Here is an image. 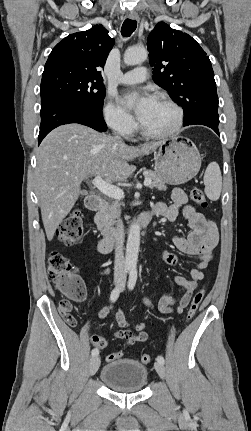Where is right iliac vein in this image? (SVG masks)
<instances>
[{"mask_svg":"<svg viewBox=\"0 0 251 431\" xmlns=\"http://www.w3.org/2000/svg\"><path fill=\"white\" fill-rule=\"evenodd\" d=\"M99 366H100V357L93 356L89 364V374L94 375L97 372Z\"/></svg>","mask_w":251,"mask_h":431,"instance_id":"right-iliac-vein-1","label":"right iliac vein"}]
</instances>
